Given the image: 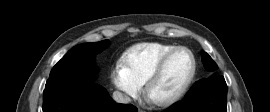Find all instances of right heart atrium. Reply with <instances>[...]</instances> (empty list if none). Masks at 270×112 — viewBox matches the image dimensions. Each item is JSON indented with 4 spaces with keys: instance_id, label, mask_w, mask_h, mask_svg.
<instances>
[{
    "instance_id": "right-heart-atrium-1",
    "label": "right heart atrium",
    "mask_w": 270,
    "mask_h": 112,
    "mask_svg": "<svg viewBox=\"0 0 270 112\" xmlns=\"http://www.w3.org/2000/svg\"><path fill=\"white\" fill-rule=\"evenodd\" d=\"M111 81L126 97L136 98L141 93V85L131 77L124 65L120 63L112 68Z\"/></svg>"
}]
</instances>
